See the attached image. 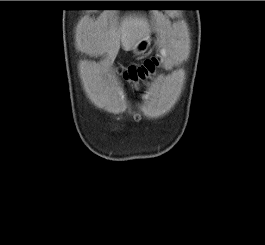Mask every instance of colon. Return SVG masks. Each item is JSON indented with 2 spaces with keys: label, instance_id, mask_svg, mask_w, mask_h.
Returning a JSON list of instances; mask_svg holds the SVG:
<instances>
[{
  "label": "colon",
  "instance_id": "obj_1",
  "mask_svg": "<svg viewBox=\"0 0 265 245\" xmlns=\"http://www.w3.org/2000/svg\"><path fill=\"white\" fill-rule=\"evenodd\" d=\"M156 60H147L141 64H133L122 70V76L131 83L146 81L155 70Z\"/></svg>",
  "mask_w": 265,
  "mask_h": 245
}]
</instances>
